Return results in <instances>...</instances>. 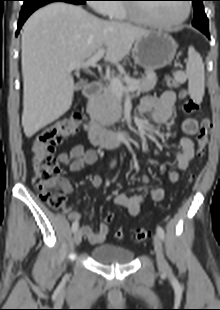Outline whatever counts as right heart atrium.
<instances>
[{
    "instance_id": "d8ad5b80",
    "label": "right heart atrium",
    "mask_w": 220,
    "mask_h": 310,
    "mask_svg": "<svg viewBox=\"0 0 220 310\" xmlns=\"http://www.w3.org/2000/svg\"><path fill=\"white\" fill-rule=\"evenodd\" d=\"M95 3L93 4V8L104 15H107L108 10L112 7L111 4L105 3L109 2L108 0H93Z\"/></svg>"
}]
</instances>
